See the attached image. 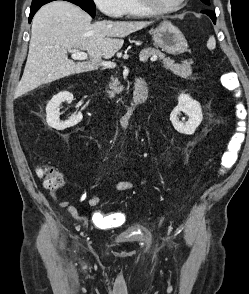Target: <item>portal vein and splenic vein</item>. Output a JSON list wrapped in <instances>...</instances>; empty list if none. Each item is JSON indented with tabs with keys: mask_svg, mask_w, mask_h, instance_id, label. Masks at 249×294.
Segmentation results:
<instances>
[{
	"mask_svg": "<svg viewBox=\"0 0 249 294\" xmlns=\"http://www.w3.org/2000/svg\"><path fill=\"white\" fill-rule=\"evenodd\" d=\"M70 52H72V59H75V60H86L88 59V55L87 53L83 52V51H80V50H71ZM157 56H153L150 58V61L151 62H154V61H157ZM141 61H144L145 60V56L141 57L140 58ZM104 67H107V68H114L116 66V64L114 62H111V61H103L101 63Z\"/></svg>",
	"mask_w": 249,
	"mask_h": 294,
	"instance_id": "18ae733b",
	"label": "portal vein and splenic vein"
}]
</instances>
